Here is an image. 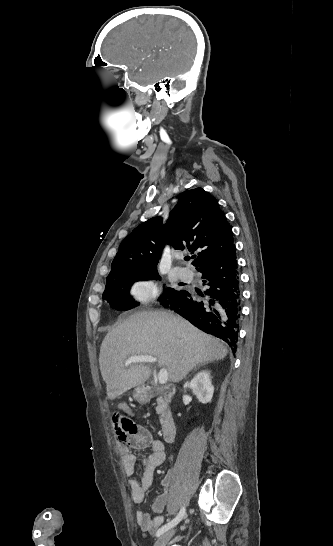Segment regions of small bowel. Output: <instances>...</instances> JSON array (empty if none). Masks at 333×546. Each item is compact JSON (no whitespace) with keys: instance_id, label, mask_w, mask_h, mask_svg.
Masks as SVG:
<instances>
[{"instance_id":"1","label":"small bowel","mask_w":333,"mask_h":546,"mask_svg":"<svg viewBox=\"0 0 333 546\" xmlns=\"http://www.w3.org/2000/svg\"><path fill=\"white\" fill-rule=\"evenodd\" d=\"M120 412H124L128 416L132 417L133 412L128 406L127 401H122L118 407ZM149 448L150 453L148 457L143 461V473L139 479H131L129 486L131 490L132 500L134 504L140 505L146 498V493L152 486L155 470L165 460V447L162 441L154 439L151 433L142 426L135 424V429L129 437L127 443H119L118 450L121 455V463L125 473L128 476L134 474L136 456L131 452V448L143 449ZM165 487L169 486L167 480L164 481ZM167 501V495H162L156 499L153 504V510L155 512H161ZM165 521L164 516L157 515L152 517L148 513H144L138 510L136 513V523L145 532L154 533L159 526Z\"/></svg>"}]
</instances>
